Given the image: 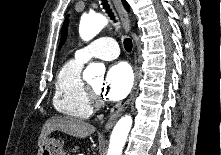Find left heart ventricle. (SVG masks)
I'll use <instances>...</instances> for the list:
<instances>
[{"label":"left heart ventricle","mask_w":221,"mask_h":155,"mask_svg":"<svg viewBox=\"0 0 221 155\" xmlns=\"http://www.w3.org/2000/svg\"><path fill=\"white\" fill-rule=\"evenodd\" d=\"M89 85H90L97 93H100V92H101V88H102V80H100V79L94 80V81L90 82Z\"/></svg>","instance_id":"left-heart-ventricle-1"}]
</instances>
